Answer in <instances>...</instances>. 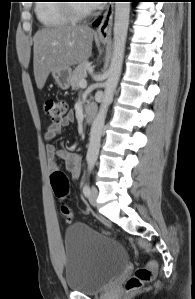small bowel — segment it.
Returning a JSON list of instances; mask_svg holds the SVG:
<instances>
[{
	"label": "small bowel",
	"mask_w": 195,
	"mask_h": 299,
	"mask_svg": "<svg viewBox=\"0 0 195 299\" xmlns=\"http://www.w3.org/2000/svg\"><path fill=\"white\" fill-rule=\"evenodd\" d=\"M74 120V115L69 113L61 121L49 124L45 132L48 140L57 136L62 128L69 126ZM47 152L55 158L65 161L66 169L72 174L74 180H78L81 175V157L78 153L71 152L65 148H57L54 145L47 147ZM51 166H56L55 161H51Z\"/></svg>",
	"instance_id": "1"
}]
</instances>
